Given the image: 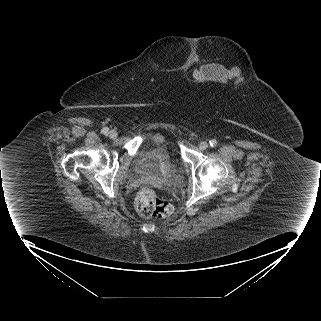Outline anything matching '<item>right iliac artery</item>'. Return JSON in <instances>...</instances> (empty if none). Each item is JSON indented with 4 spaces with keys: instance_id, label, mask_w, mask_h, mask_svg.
Segmentation results:
<instances>
[{
    "instance_id": "82829eb1",
    "label": "right iliac artery",
    "mask_w": 321,
    "mask_h": 321,
    "mask_svg": "<svg viewBox=\"0 0 321 321\" xmlns=\"http://www.w3.org/2000/svg\"><path fill=\"white\" fill-rule=\"evenodd\" d=\"M108 131H109V129H108L107 127H104V128L102 129V133H103V134H107Z\"/></svg>"
}]
</instances>
